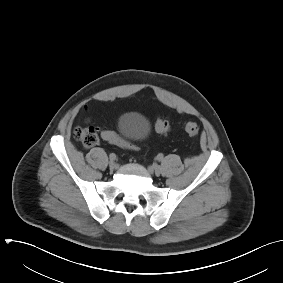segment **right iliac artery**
<instances>
[{
    "instance_id": "obj_1",
    "label": "right iliac artery",
    "mask_w": 283,
    "mask_h": 283,
    "mask_svg": "<svg viewBox=\"0 0 283 283\" xmlns=\"http://www.w3.org/2000/svg\"><path fill=\"white\" fill-rule=\"evenodd\" d=\"M109 157L111 161L116 160V155L114 153H111Z\"/></svg>"
}]
</instances>
